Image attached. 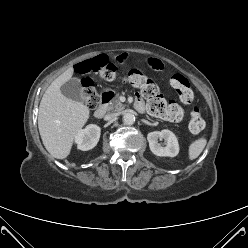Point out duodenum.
<instances>
[{
  "label": "duodenum",
  "mask_w": 248,
  "mask_h": 248,
  "mask_svg": "<svg viewBox=\"0 0 248 248\" xmlns=\"http://www.w3.org/2000/svg\"><path fill=\"white\" fill-rule=\"evenodd\" d=\"M99 98H100V105L98 106V108L94 112V116L98 119L102 118L105 115V113L107 111L108 103L112 98V94L111 93H101V94H99ZM135 106H136V108L140 107V103H138L136 101Z\"/></svg>",
  "instance_id": "obj_1"
}]
</instances>
